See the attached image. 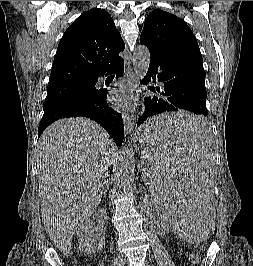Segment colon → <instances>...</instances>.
Masks as SVG:
<instances>
[{
  "mask_svg": "<svg viewBox=\"0 0 253 266\" xmlns=\"http://www.w3.org/2000/svg\"><path fill=\"white\" fill-rule=\"evenodd\" d=\"M191 260L195 262V261L197 260V258H196L195 256H193V257L191 258Z\"/></svg>",
  "mask_w": 253,
  "mask_h": 266,
  "instance_id": "obj_1",
  "label": "colon"
}]
</instances>
